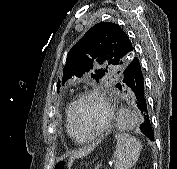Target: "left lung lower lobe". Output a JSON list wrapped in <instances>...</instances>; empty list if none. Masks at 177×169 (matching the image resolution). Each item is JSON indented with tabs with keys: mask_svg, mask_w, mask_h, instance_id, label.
Listing matches in <instances>:
<instances>
[{
	"mask_svg": "<svg viewBox=\"0 0 177 169\" xmlns=\"http://www.w3.org/2000/svg\"><path fill=\"white\" fill-rule=\"evenodd\" d=\"M117 88L123 91L127 90L133 94L136 105L144 118L140 130L147 138L154 141V132L146 102L143 68L137 57L133 58L124 69L122 82L119 83Z\"/></svg>",
	"mask_w": 177,
	"mask_h": 169,
	"instance_id": "left-lung-lower-lobe-1",
	"label": "left lung lower lobe"
}]
</instances>
